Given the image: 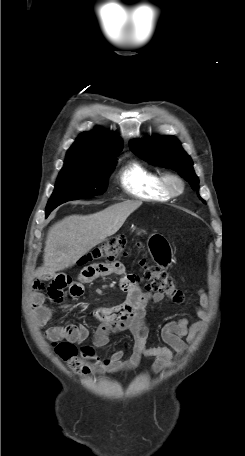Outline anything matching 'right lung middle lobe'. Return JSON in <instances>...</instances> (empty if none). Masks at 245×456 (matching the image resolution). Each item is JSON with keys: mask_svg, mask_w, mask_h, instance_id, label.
I'll return each mask as SVG.
<instances>
[{"mask_svg": "<svg viewBox=\"0 0 245 456\" xmlns=\"http://www.w3.org/2000/svg\"><path fill=\"white\" fill-rule=\"evenodd\" d=\"M115 163L116 157L100 162L65 163L46 206V211H52L67 201L103 194L106 191L108 176Z\"/></svg>", "mask_w": 245, "mask_h": 456, "instance_id": "1", "label": "right lung middle lobe"}]
</instances>
